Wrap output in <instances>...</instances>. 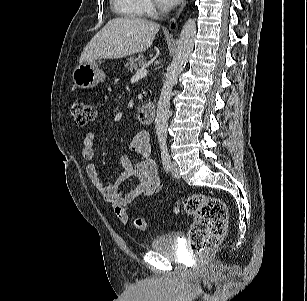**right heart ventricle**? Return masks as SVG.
I'll return each instance as SVG.
<instances>
[{
  "mask_svg": "<svg viewBox=\"0 0 307 301\" xmlns=\"http://www.w3.org/2000/svg\"><path fill=\"white\" fill-rule=\"evenodd\" d=\"M113 8L118 13L136 19L145 17L144 0H113Z\"/></svg>",
  "mask_w": 307,
  "mask_h": 301,
  "instance_id": "e07e8e85",
  "label": "right heart ventricle"
}]
</instances>
